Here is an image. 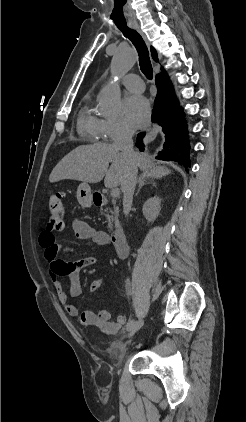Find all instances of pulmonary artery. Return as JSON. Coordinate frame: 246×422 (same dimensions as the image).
Segmentation results:
<instances>
[{"label":"pulmonary artery","mask_w":246,"mask_h":422,"mask_svg":"<svg viewBox=\"0 0 246 422\" xmlns=\"http://www.w3.org/2000/svg\"><path fill=\"white\" fill-rule=\"evenodd\" d=\"M122 85H124L130 91L141 93L144 91V83L142 79L136 74H128L120 79Z\"/></svg>","instance_id":"pulmonary-artery-1"}]
</instances>
